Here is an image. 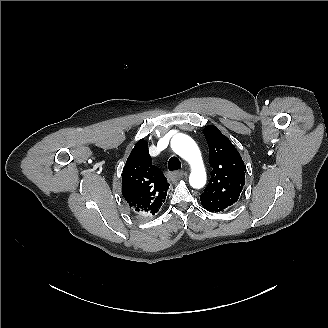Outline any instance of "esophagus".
<instances>
[{
	"mask_svg": "<svg viewBox=\"0 0 328 328\" xmlns=\"http://www.w3.org/2000/svg\"><path fill=\"white\" fill-rule=\"evenodd\" d=\"M185 175L183 171H171L167 173V176L169 179H177V178H182Z\"/></svg>",
	"mask_w": 328,
	"mask_h": 328,
	"instance_id": "esophagus-1",
	"label": "esophagus"
}]
</instances>
